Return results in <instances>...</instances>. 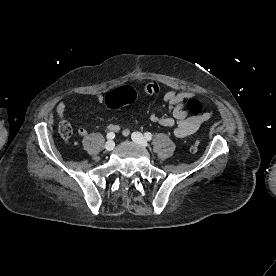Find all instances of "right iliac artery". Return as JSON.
Here are the masks:
<instances>
[{"mask_svg":"<svg viewBox=\"0 0 276 276\" xmlns=\"http://www.w3.org/2000/svg\"><path fill=\"white\" fill-rule=\"evenodd\" d=\"M114 137H115L114 132H109V133L107 134V138H108V139H113Z\"/></svg>","mask_w":276,"mask_h":276,"instance_id":"right-iliac-artery-1","label":"right iliac artery"}]
</instances>
